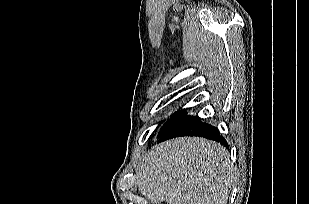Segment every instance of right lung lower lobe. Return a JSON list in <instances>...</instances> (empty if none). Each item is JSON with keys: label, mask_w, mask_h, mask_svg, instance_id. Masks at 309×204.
I'll use <instances>...</instances> for the list:
<instances>
[{"label": "right lung lower lobe", "mask_w": 309, "mask_h": 204, "mask_svg": "<svg viewBox=\"0 0 309 204\" xmlns=\"http://www.w3.org/2000/svg\"><path fill=\"white\" fill-rule=\"evenodd\" d=\"M180 136H199L213 141H217L226 147H229L225 139L220 135L217 128L204 124L198 117L185 116L163 135L160 136L158 143Z\"/></svg>", "instance_id": "right-lung-lower-lobe-1"}]
</instances>
